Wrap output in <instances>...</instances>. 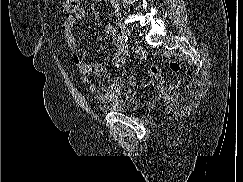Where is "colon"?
<instances>
[{"mask_svg":"<svg viewBox=\"0 0 243 182\" xmlns=\"http://www.w3.org/2000/svg\"><path fill=\"white\" fill-rule=\"evenodd\" d=\"M63 9L64 11L68 13H75L79 9V0H63ZM170 68L173 71H178L179 70V64L176 62H171L170 63ZM161 68L159 66H151L149 69V74L152 77H159L161 75Z\"/></svg>","mask_w":243,"mask_h":182,"instance_id":"5ec220e1","label":"colon"}]
</instances>
